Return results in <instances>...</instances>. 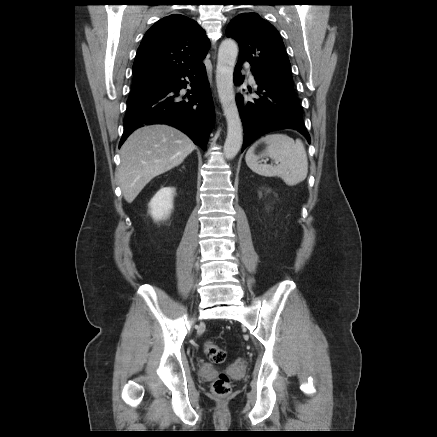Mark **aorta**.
Segmentation results:
<instances>
[{"label":"aorta","instance_id":"762f6f07","mask_svg":"<svg viewBox=\"0 0 437 437\" xmlns=\"http://www.w3.org/2000/svg\"><path fill=\"white\" fill-rule=\"evenodd\" d=\"M238 55V46L232 39L221 42L218 51L216 84L224 116L227 121V137L224 156L233 159L243 143L242 122L235 101L233 72Z\"/></svg>","mask_w":437,"mask_h":437}]
</instances>
